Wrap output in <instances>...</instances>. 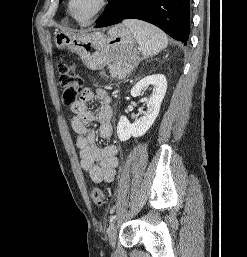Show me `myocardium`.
Returning a JSON list of instances; mask_svg holds the SVG:
<instances>
[{
    "instance_id": "myocardium-1",
    "label": "myocardium",
    "mask_w": 247,
    "mask_h": 257,
    "mask_svg": "<svg viewBox=\"0 0 247 257\" xmlns=\"http://www.w3.org/2000/svg\"><path fill=\"white\" fill-rule=\"evenodd\" d=\"M74 0L67 1V12L69 16L80 26H89L91 25L106 9L109 0H98L97 7L94 12L85 20L79 19L73 12L72 4Z\"/></svg>"
}]
</instances>
